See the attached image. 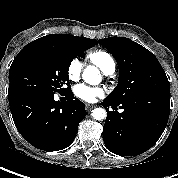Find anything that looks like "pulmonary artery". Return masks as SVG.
<instances>
[{
    "label": "pulmonary artery",
    "instance_id": "obj_1",
    "mask_svg": "<svg viewBox=\"0 0 178 178\" xmlns=\"http://www.w3.org/2000/svg\"><path fill=\"white\" fill-rule=\"evenodd\" d=\"M114 71H115V68H111V69L108 70L105 74H106V75H111V74L114 73Z\"/></svg>",
    "mask_w": 178,
    "mask_h": 178
}]
</instances>
